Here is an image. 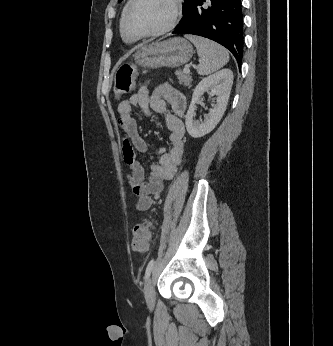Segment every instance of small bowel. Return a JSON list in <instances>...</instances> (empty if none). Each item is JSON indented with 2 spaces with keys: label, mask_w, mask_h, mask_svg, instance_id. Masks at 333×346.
Here are the masks:
<instances>
[{
  "label": "small bowel",
  "mask_w": 333,
  "mask_h": 346,
  "mask_svg": "<svg viewBox=\"0 0 333 346\" xmlns=\"http://www.w3.org/2000/svg\"><path fill=\"white\" fill-rule=\"evenodd\" d=\"M168 105L171 110L168 109ZM186 106L184 95L169 82L161 83L151 95L146 87H142L128 100L118 105L120 126L124 133L122 141L124 161L130 169L129 181L133 193L137 196L136 208L139 211H146L156 203L164 183L174 177L182 161L185 134L182 117ZM134 107L141 108L148 116L152 112L162 114L169 130L170 148L158 149V162L150 164L147 179L136 153L147 151L149 146L139 135L137 120L132 114Z\"/></svg>",
  "instance_id": "c3829d8e"
}]
</instances>
